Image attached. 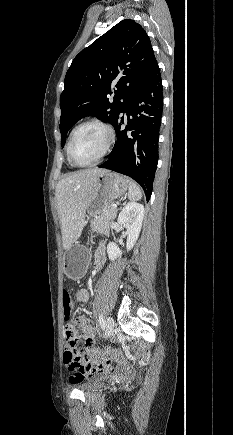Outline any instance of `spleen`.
<instances>
[{
    "instance_id": "3e777b00",
    "label": "spleen",
    "mask_w": 233,
    "mask_h": 435,
    "mask_svg": "<svg viewBox=\"0 0 233 435\" xmlns=\"http://www.w3.org/2000/svg\"><path fill=\"white\" fill-rule=\"evenodd\" d=\"M128 198L130 200L136 201L142 198V192L140 187L133 181L129 182L128 188Z\"/></svg>"
}]
</instances>
